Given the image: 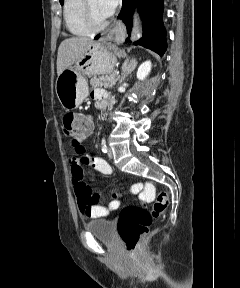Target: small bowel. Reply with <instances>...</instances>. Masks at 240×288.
Listing matches in <instances>:
<instances>
[{
    "label": "small bowel",
    "instance_id": "1",
    "mask_svg": "<svg viewBox=\"0 0 240 288\" xmlns=\"http://www.w3.org/2000/svg\"><path fill=\"white\" fill-rule=\"evenodd\" d=\"M91 96L95 99L100 109L105 108L111 100L109 95L102 89H95ZM84 139L85 137L72 140V145L77 152V156L71 158L70 168L79 211L84 219L90 220L105 217L110 210L116 209L120 202L119 200H113L108 208L101 205V194L94 192L91 187L86 184L84 180V167H89L104 175H111L113 171L106 160L101 157H92L85 151L83 147ZM153 192V187L148 186L145 195L151 197Z\"/></svg>",
    "mask_w": 240,
    "mask_h": 288
}]
</instances>
